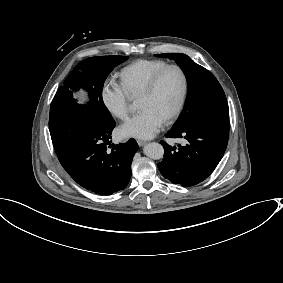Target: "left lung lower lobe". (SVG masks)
<instances>
[{"mask_svg": "<svg viewBox=\"0 0 283 283\" xmlns=\"http://www.w3.org/2000/svg\"><path fill=\"white\" fill-rule=\"evenodd\" d=\"M170 138H185V146L172 147L161 141L165 153L158 163L161 174L174 184L193 186L205 180L216 168L228 143L229 121L196 124L185 129H171Z\"/></svg>", "mask_w": 283, "mask_h": 283, "instance_id": "obj_1", "label": "left lung lower lobe"}]
</instances>
